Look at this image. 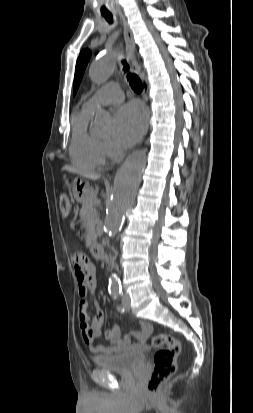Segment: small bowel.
<instances>
[{
	"instance_id": "obj_1",
	"label": "small bowel",
	"mask_w": 253,
	"mask_h": 413,
	"mask_svg": "<svg viewBox=\"0 0 253 413\" xmlns=\"http://www.w3.org/2000/svg\"><path fill=\"white\" fill-rule=\"evenodd\" d=\"M72 262L75 267L78 294L81 297L78 304L80 330L84 341L91 346V351L93 353L111 354L120 352L134 343L145 344L152 333V327L147 322H141L138 330L124 336L117 324H113L109 328L104 327L105 313L100 305H95V315L92 319L90 318L88 304L84 298L88 291L96 290V269L82 252H75L72 255ZM102 334L110 341L111 346L94 344L95 339Z\"/></svg>"
}]
</instances>
